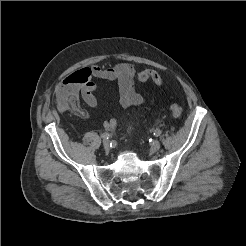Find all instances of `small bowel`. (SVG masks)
Listing matches in <instances>:
<instances>
[{"label": "small bowel", "instance_id": "small-bowel-1", "mask_svg": "<svg viewBox=\"0 0 246 246\" xmlns=\"http://www.w3.org/2000/svg\"><path fill=\"white\" fill-rule=\"evenodd\" d=\"M136 69L130 63H119L113 67L93 65L83 67L67 76L56 91L57 108L61 112L72 111L79 117H86L87 113L81 107L80 98L89 107L98 105L95 91L97 89L94 78L105 79L117 84L119 102L125 109L138 107L143 104V97L137 93L133 85ZM117 124L112 117L104 122V128L111 132Z\"/></svg>", "mask_w": 246, "mask_h": 246}]
</instances>
